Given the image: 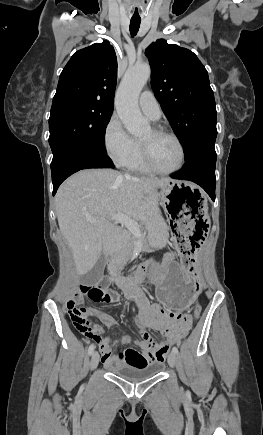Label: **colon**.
<instances>
[{"mask_svg": "<svg viewBox=\"0 0 263 435\" xmlns=\"http://www.w3.org/2000/svg\"><path fill=\"white\" fill-rule=\"evenodd\" d=\"M107 284L108 278H104L99 284L89 286L81 285L79 289L92 301L111 303L115 299V295L110 290H106ZM67 308L74 327L88 339L96 341L97 343L95 344V347L98 350H112L114 347L136 350L137 348H140V343H145L146 340L147 343H152V339H154V336L149 334V331L146 328H142L139 331L140 335L138 334L136 337L132 333H128L127 335H122L121 340H116L115 344L112 341L105 342L102 337L101 327L93 324L89 320L88 311L85 307L78 305L74 300H69ZM201 311V305L195 304L192 308L190 317L185 319V321L192 323L197 320ZM186 332L187 330H185L184 335ZM155 343H158V340H155Z\"/></svg>", "mask_w": 263, "mask_h": 435, "instance_id": "1", "label": "colon"}]
</instances>
